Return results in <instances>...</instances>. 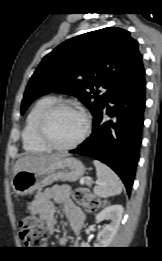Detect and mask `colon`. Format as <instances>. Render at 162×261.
<instances>
[{"instance_id":"colon-1","label":"colon","mask_w":162,"mask_h":261,"mask_svg":"<svg viewBox=\"0 0 162 261\" xmlns=\"http://www.w3.org/2000/svg\"><path fill=\"white\" fill-rule=\"evenodd\" d=\"M72 198L74 202L86 212L98 211L103 205V202L99 197L82 187L73 191ZM19 229L20 237L26 247L38 248L45 245L47 241V232L35 216H25L20 221Z\"/></svg>"}]
</instances>
